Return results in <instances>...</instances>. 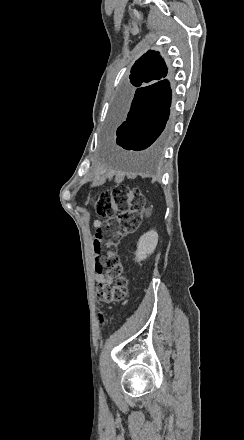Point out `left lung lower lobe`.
I'll list each match as a JSON object with an SVG mask.
<instances>
[{
  "instance_id": "1",
  "label": "left lung lower lobe",
  "mask_w": 244,
  "mask_h": 440,
  "mask_svg": "<svg viewBox=\"0 0 244 440\" xmlns=\"http://www.w3.org/2000/svg\"><path fill=\"white\" fill-rule=\"evenodd\" d=\"M166 76L120 98L117 120L121 124L116 133L117 143L124 149L139 151L163 142L172 96Z\"/></svg>"
}]
</instances>
